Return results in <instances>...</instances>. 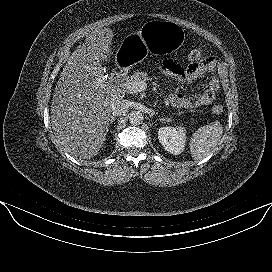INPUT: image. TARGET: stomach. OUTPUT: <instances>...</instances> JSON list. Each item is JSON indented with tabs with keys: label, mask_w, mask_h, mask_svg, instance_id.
<instances>
[{
	"label": "stomach",
	"mask_w": 272,
	"mask_h": 272,
	"mask_svg": "<svg viewBox=\"0 0 272 272\" xmlns=\"http://www.w3.org/2000/svg\"><path fill=\"white\" fill-rule=\"evenodd\" d=\"M185 41L184 29L175 22L151 20L138 32L127 35L116 52V63L121 68H131L147 53L174 52Z\"/></svg>",
	"instance_id": "stomach-1"
}]
</instances>
